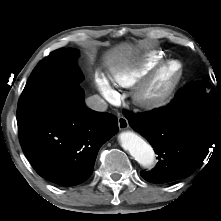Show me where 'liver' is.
<instances>
[{
    "instance_id": "obj_1",
    "label": "liver",
    "mask_w": 221,
    "mask_h": 221,
    "mask_svg": "<svg viewBox=\"0 0 221 221\" xmlns=\"http://www.w3.org/2000/svg\"><path fill=\"white\" fill-rule=\"evenodd\" d=\"M131 56L132 47L125 44L115 47L109 51L105 56V60L109 65H123L128 62Z\"/></svg>"
}]
</instances>
